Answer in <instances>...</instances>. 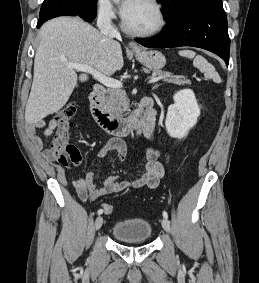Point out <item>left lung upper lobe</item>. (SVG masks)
Here are the masks:
<instances>
[{
  "instance_id": "1",
  "label": "left lung upper lobe",
  "mask_w": 259,
  "mask_h": 283,
  "mask_svg": "<svg viewBox=\"0 0 259 283\" xmlns=\"http://www.w3.org/2000/svg\"><path fill=\"white\" fill-rule=\"evenodd\" d=\"M161 2L167 23L174 22L200 4L214 0H157Z\"/></svg>"
}]
</instances>
